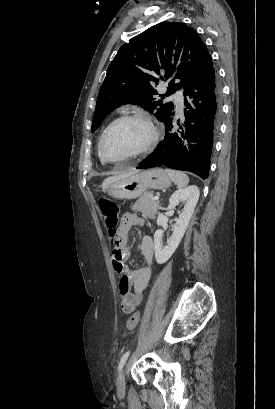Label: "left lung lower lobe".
Instances as JSON below:
<instances>
[{
	"label": "left lung lower lobe",
	"mask_w": 275,
	"mask_h": 409,
	"mask_svg": "<svg viewBox=\"0 0 275 409\" xmlns=\"http://www.w3.org/2000/svg\"><path fill=\"white\" fill-rule=\"evenodd\" d=\"M184 128L175 131L174 111L164 121L165 138L139 165L190 171L202 179L209 177L213 139L221 119L222 88L213 65L184 88Z\"/></svg>",
	"instance_id": "obj_1"
}]
</instances>
